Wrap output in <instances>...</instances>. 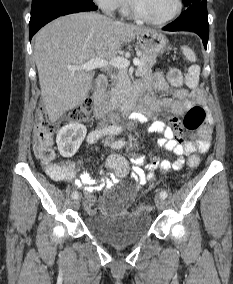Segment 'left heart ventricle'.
<instances>
[{
    "label": "left heart ventricle",
    "mask_w": 233,
    "mask_h": 284,
    "mask_svg": "<svg viewBox=\"0 0 233 284\" xmlns=\"http://www.w3.org/2000/svg\"><path fill=\"white\" fill-rule=\"evenodd\" d=\"M139 9L148 17L162 19L170 15L176 6V0H136Z\"/></svg>",
    "instance_id": "left-heart-ventricle-1"
}]
</instances>
